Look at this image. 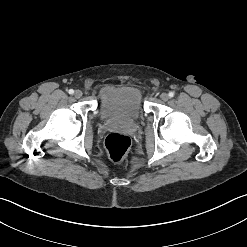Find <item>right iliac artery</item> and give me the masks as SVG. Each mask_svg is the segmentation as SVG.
<instances>
[{
    "mask_svg": "<svg viewBox=\"0 0 247 247\" xmlns=\"http://www.w3.org/2000/svg\"><path fill=\"white\" fill-rule=\"evenodd\" d=\"M68 93H69V94H73V93H74V90H73V89H70V90L68 91Z\"/></svg>",
    "mask_w": 247,
    "mask_h": 247,
    "instance_id": "82829eb1",
    "label": "right iliac artery"
}]
</instances>
